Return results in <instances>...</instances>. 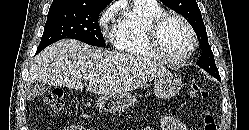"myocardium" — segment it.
Returning a JSON list of instances; mask_svg holds the SVG:
<instances>
[{
  "label": "myocardium",
  "mask_w": 249,
  "mask_h": 130,
  "mask_svg": "<svg viewBox=\"0 0 249 130\" xmlns=\"http://www.w3.org/2000/svg\"><path fill=\"white\" fill-rule=\"evenodd\" d=\"M170 19H176L180 21L185 26L190 35L191 45L189 51L184 56L173 57L169 55L162 46L161 32L164 25ZM148 37L153 51L158 55V57L169 63L179 64L188 61L194 55L198 46L197 35L191 23L184 16L175 12H165L159 15L158 17L154 18L149 26Z\"/></svg>",
  "instance_id": "1"
}]
</instances>
